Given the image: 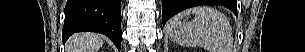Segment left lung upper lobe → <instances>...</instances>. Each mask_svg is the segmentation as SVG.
<instances>
[{"mask_svg":"<svg viewBox=\"0 0 305 52\" xmlns=\"http://www.w3.org/2000/svg\"><path fill=\"white\" fill-rule=\"evenodd\" d=\"M232 0H211V4H215V5H223L225 7H229L231 8L232 5Z\"/></svg>","mask_w":305,"mask_h":52,"instance_id":"5c2ea615","label":"left lung upper lobe"}]
</instances>
